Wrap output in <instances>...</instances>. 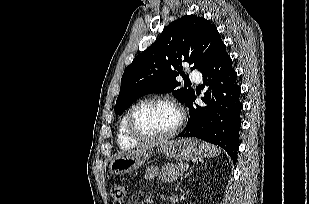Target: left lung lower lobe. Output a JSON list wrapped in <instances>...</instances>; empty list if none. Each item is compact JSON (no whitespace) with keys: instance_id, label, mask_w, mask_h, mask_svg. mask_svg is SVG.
<instances>
[{"instance_id":"0a47b994","label":"left lung lower lobe","mask_w":309,"mask_h":204,"mask_svg":"<svg viewBox=\"0 0 309 204\" xmlns=\"http://www.w3.org/2000/svg\"><path fill=\"white\" fill-rule=\"evenodd\" d=\"M201 73L204 84L208 85L211 78L214 81V96L210 98L207 92L202 98L207 106L201 107L194 104V94L188 105V124L178 137H196L221 146L236 163L241 128V89L226 46L222 47L214 63Z\"/></svg>"}]
</instances>
